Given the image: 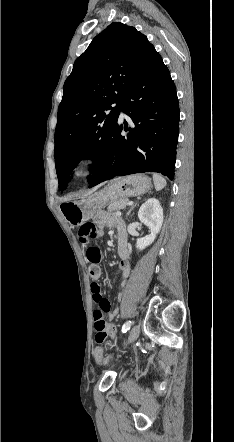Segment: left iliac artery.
Listing matches in <instances>:
<instances>
[{
    "mask_svg": "<svg viewBox=\"0 0 234 442\" xmlns=\"http://www.w3.org/2000/svg\"><path fill=\"white\" fill-rule=\"evenodd\" d=\"M130 327H131V321H127L122 327V332L126 333L130 329Z\"/></svg>",
    "mask_w": 234,
    "mask_h": 442,
    "instance_id": "obj_1",
    "label": "left iliac artery"
}]
</instances>
